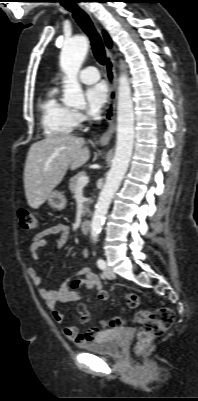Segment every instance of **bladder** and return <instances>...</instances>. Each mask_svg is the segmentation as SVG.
Returning a JSON list of instances; mask_svg holds the SVG:
<instances>
[{
    "label": "bladder",
    "instance_id": "1",
    "mask_svg": "<svg viewBox=\"0 0 198 401\" xmlns=\"http://www.w3.org/2000/svg\"><path fill=\"white\" fill-rule=\"evenodd\" d=\"M121 333L122 331L117 328L108 329L94 342L85 344L83 348L90 353L117 357L121 353V345L117 342V337Z\"/></svg>",
    "mask_w": 198,
    "mask_h": 401
}]
</instances>
